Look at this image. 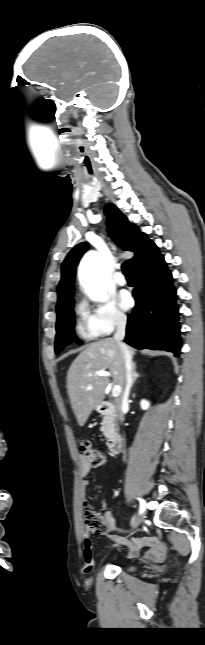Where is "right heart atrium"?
<instances>
[{"instance_id":"d8ad5b80","label":"right heart atrium","mask_w":205,"mask_h":645,"mask_svg":"<svg viewBox=\"0 0 205 645\" xmlns=\"http://www.w3.org/2000/svg\"><path fill=\"white\" fill-rule=\"evenodd\" d=\"M80 308L86 314L90 331L96 336H108L128 322L126 314L112 300L93 305L82 303Z\"/></svg>"}]
</instances>
